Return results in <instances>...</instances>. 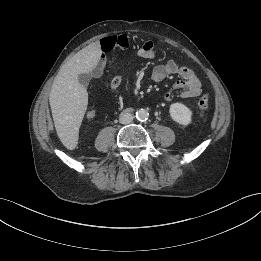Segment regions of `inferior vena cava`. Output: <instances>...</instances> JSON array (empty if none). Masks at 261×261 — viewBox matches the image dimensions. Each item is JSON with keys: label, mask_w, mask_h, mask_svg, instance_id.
<instances>
[{"label": "inferior vena cava", "mask_w": 261, "mask_h": 261, "mask_svg": "<svg viewBox=\"0 0 261 261\" xmlns=\"http://www.w3.org/2000/svg\"><path fill=\"white\" fill-rule=\"evenodd\" d=\"M133 120V115L130 113H123L120 115L119 122L121 124H129Z\"/></svg>", "instance_id": "obj_1"}]
</instances>
